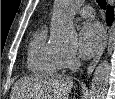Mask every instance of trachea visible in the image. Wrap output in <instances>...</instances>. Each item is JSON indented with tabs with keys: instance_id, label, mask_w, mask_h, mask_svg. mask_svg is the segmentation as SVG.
<instances>
[{
	"instance_id": "3493384b",
	"label": "trachea",
	"mask_w": 115,
	"mask_h": 99,
	"mask_svg": "<svg viewBox=\"0 0 115 99\" xmlns=\"http://www.w3.org/2000/svg\"><path fill=\"white\" fill-rule=\"evenodd\" d=\"M98 5L100 6V8L102 9H106V0H97Z\"/></svg>"
}]
</instances>
